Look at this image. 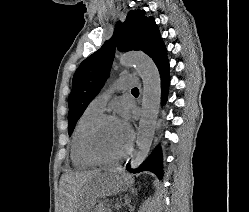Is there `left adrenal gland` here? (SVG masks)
Wrapping results in <instances>:
<instances>
[{"label":"left adrenal gland","mask_w":249,"mask_h":212,"mask_svg":"<svg viewBox=\"0 0 249 212\" xmlns=\"http://www.w3.org/2000/svg\"><path fill=\"white\" fill-rule=\"evenodd\" d=\"M126 204H128V208H131V206H130V202H126Z\"/></svg>","instance_id":"obj_1"}]
</instances>
